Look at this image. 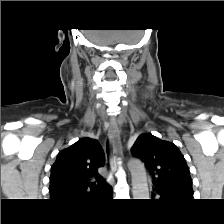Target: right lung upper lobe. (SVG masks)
<instances>
[{
    "mask_svg": "<svg viewBox=\"0 0 224 224\" xmlns=\"http://www.w3.org/2000/svg\"><path fill=\"white\" fill-rule=\"evenodd\" d=\"M104 161L101 146L90 138L62 150L51 168L50 199L74 205L88 198L110 197L112 188L97 172Z\"/></svg>",
    "mask_w": 224,
    "mask_h": 224,
    "instance_id": "right-lung-upper-lobe-1",
    "label": "right lung upper lobe"
}]
</instances>
